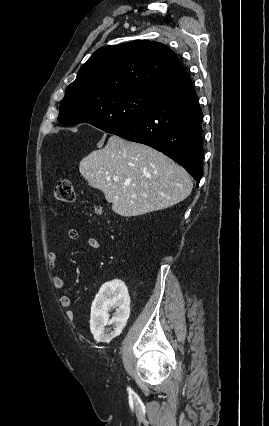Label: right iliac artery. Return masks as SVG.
<instances>
[{"instance_id":"1","label":"right iliac artery","mask_w":269,"mask_h":426,"mask_svg":"<svg viewBox=\"0 0 269 426\" xmlns=\"http://www.w3.org/2000/svg\"><path fill=\"white\" fill-rule=\"evenodd\" d=\"M127 390H128L129 392H131V388H130V387H128V388H127Z\"/></svg>"}]
</instances>
